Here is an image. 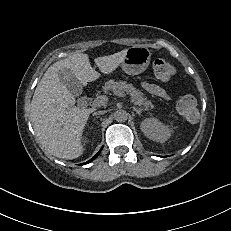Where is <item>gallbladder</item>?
I'll return each instance as SVG.
<instances>
[{
    "label": "gallbladder",
    "instance_id": "gallbladder-1",
    "mask_svg": "<svg viewBox=\"0 0 231 231\" xmlns=\"http://www.w3.org/2000/svg\"><path fill=\"white\" fill-rule=\"evenodd\" d=\"M57 79L61 84L67 87V89L70 91V93L73 96L78 97L81 95L82 85L80 81L71 72V70L68 69L60 70Z\"/></svg>",
    "mask_w": 231,
    "mask_h": 231
}]
</instances>
